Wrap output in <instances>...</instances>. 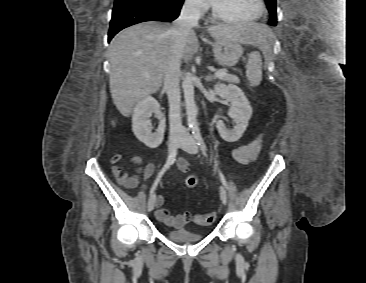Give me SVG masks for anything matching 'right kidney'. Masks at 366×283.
Instances as JSON below:
<instances>
[{"label": "right kidney", "mask_w": 366, "mask_h": 283, "mask_svg": "<svg viewBox=\"0 0 366 283\" xmlns=\"http://www.w3.org/2000/svg\"><path fill=\"white\" fill-rule=\"evenodd\" d=\"M153 113L159 119V126L155 133L150 130L149 119ZM132 130L136 138L149 148H157L163 142L165 117L154 98L146 96L137 102L132 116Z\"/></svg>", "instance_id": "right-kidney-1"}]
</instances>
